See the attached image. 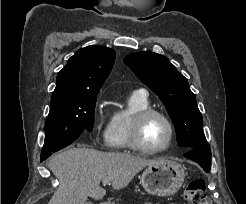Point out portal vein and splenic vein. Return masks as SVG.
<instances>
[{"instance_id": "18ae733b", "label": "portal vein and splenic vein", "mask_w": 246, "mask_h": 204, "mask_svg": "<svg viewBox=\"0 0 246 204\" xmlns=\"http://www.w3.org/2000/svg\"><path fill=\"white\" fill-rule=\"evenodd\" d=\"M102 182L104 185L110 184V179H103Z\"/></svg>"}]
</instances>
